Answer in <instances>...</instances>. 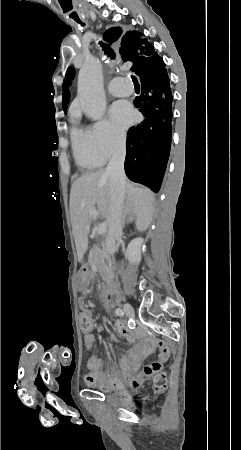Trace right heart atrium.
I'll list each match as a JSON object with an SVG mask.
<instances>
[{
    "instance_id": "right-heart-atrium-1",
    "label": "right heart atrium",
    "mask_w": 241,
    "mask_h": 450,
    "mask_svg": "<svg viewBox=\"0 0 241 450\" xmlns=\"http://www.w3.org/2000/svg\"><path fill=\"white\" fill-rule=\"evenodd\" d=\"M83 122L82 118L78 119ZM125 132L112 125L108 120L102 119L90 131L89 145L93 153L101 160L107 161L115 155H126ZM98 150V151H97Z\"/></svg>"
}]
</instances>
